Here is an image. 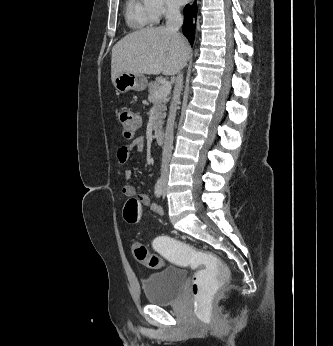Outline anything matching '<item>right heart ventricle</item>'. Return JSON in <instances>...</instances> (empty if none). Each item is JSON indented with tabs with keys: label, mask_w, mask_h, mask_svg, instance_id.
Listing matches in <instances>:
<instances>
[{
	"label": "right heart ventricle",
	"mask_w": 333,
	"mask_h": 346,
	"mask_svg": "<svg viewBox=\"0 0 333 346\" xmlns=\"http://www.w3.org/2000/svg\"><path fill=\"white\" fill-rule=\"evenodd\" d=\"M126 21L132 28H144L152 25V21L147 13L144 0H127Z\"/></svg>",
	"instance_id": "e07e8e85"
}]
</instances>
